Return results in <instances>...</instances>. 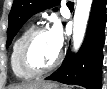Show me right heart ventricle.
Instances as JSON below:
<instances>
[{"mask_svg":"<svg viewBox=\"0 0 107 89\" xmlns=\"http://www.w3.org/2000/svg\"><path fill=\"white\" fill-rule=\"evenodd\" d=\"M34 28L33 24L28 25L15 39L11 49L10 62L12 71L16 77L23 80H28L34 77V75L26 72L20 63V54L23 43Z\"/></svg>","mask_w":107,"mask_h":89,"instance_id":"right-heart-ventricle-1","label":"right heart ventricle"}]
</instances>
